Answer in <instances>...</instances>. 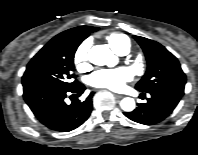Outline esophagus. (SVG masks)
Masks as SVG:
<instances>
[{"instance_id": "esophagus-1", "label": "esophagus", "mask_w": 198, "mask_h": 155, "mask_svg": "<svg viewBox=\"0 0 198 155\" xmlns=\"http://www.w3.org/2000/svg\"><path fill=\"white\" fill-rule=\"evenodd\" d=\"M115 97L118 98V99H121V98H123L124 96L121 95V94H115Z\"/></svg>"}]
</instances>
